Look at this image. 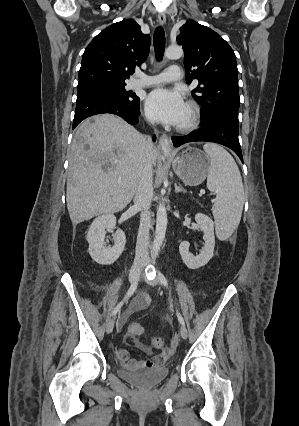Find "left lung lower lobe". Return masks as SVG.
Masks as SVG:
<instances>
[{"mask_svg":"<svg viewBox=\"0 0 299 426\" xmlns=\"http://www.w3.org/2000/svg\"><path fill=\"white\" fill-rule=\"evenodd\" d=\"M172 141L175 147L196 141L219 143L232 149L243 162L238 139V124L226 117L204 118L200 129L187 136L172 137Z\"/></svg>","mask_w":299,"mask_h":426,"instance_id":"1","label":"left lung lower lobe"}]
</instances>
